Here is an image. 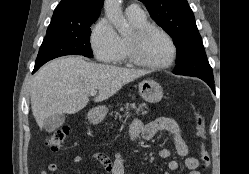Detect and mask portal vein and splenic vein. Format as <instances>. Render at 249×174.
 I'll return each mask as SVG.
<instances>
[{
	"label": "portal vein and splenic vein",
	"mask_w": 249,
	"mask_h": 174,
	"mask_svg": "<svg viewBox=\"0 0 249 174\" xmlns=\"http://www.w3.org/2000/svg\"><path fill=\"white\" fill-rule=\"evenodd\" d=\"M97 94V91L96 90H92L91 92H90V95L91 96H95Z\"/></svg>",
	"instance_id": "obj_1"
}]
</instances>
